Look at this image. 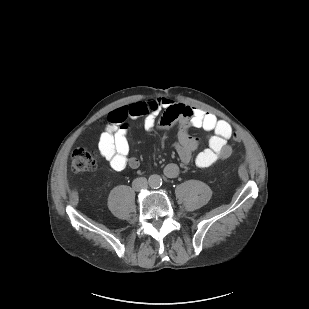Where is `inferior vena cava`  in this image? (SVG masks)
Listing matches in <instances>:
<instances>
[{"mask_svg": "<svg viewBox=\"0 0 309 309\" xmlns=\"http://www.w3.org/2000/svg\"><path fill=\"white\" fill-rule=\"evenodd\" d=\"M148 186L147 179L145 177H139L133 180L132 187L134 190L144 189Z\"/></svg>", "mask_w": 309, "mask_h": 309, "instance_id": "obj_1", "label": "inferior vena cava"}]
</instances>
